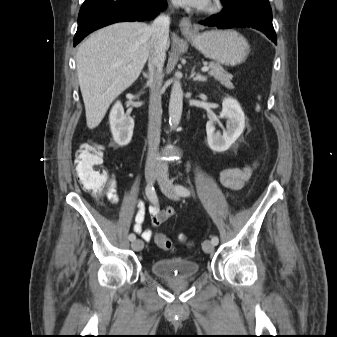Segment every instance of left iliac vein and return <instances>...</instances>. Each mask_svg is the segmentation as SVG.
I'll return each instance as SVG.
<instances>
[{"mask_svg":"<svg viewBox=\"0 0 337 337\" xmlns=\"http://www.w3.org/2000/svg\"><path fill=\"white\" fill-rule=\"evenodd\" d=\"M157 181L160 185L162 192L168 198L173 199V200L179 199L172 182L167 177L165 168L160 170L157 176ZM202 248L205 253H211L214 250V244L210 240H205L203 242Z\"/></svg>","mask_w":337,"mask_h":337,"instance_id":"4c4485c4","label":"left iliac vein"}]
</instances>
